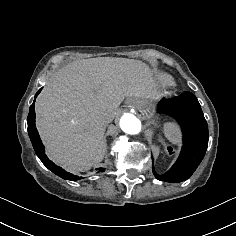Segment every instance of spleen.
Returning a JSON list of instances; mask_svg holds the SVG:
<instances>
[{
  "label": "spleen",
  "mask_w": 236,
  "mask_h": 236,
  "mask_svg": "<svg viewBox=\"0 0 236 236\" xmlns=\"http://www.w3.org/2000/svg\"><path fill=\"white\" fill-rule=\"evenodd\" d=\"M165 133L168 136V138L173 141V143L175 144L179 143L178 133L174 125L167 124L165 128Z\"/></svg>",
  "instance_id": "spleen-1"
}]
</instances>
